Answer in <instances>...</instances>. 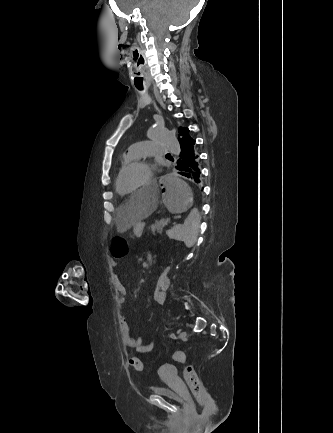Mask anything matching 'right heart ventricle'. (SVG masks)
<instances>
[{
    "instance_id": "right-heart-ventricle-1",
    "label": "right heart ventricle",
    "mask_w": 333,
    "mask_h": 433,
    "mask_svg": "<svg viewBox=\"0 0 333 433\" xmlns=\"http://www.w3.org/2000/svg\"><path fill=\"white\" fill-rule=\"evenodd\" d=\"M135 159H136V158L133 157L129 152H125V153L122 155L121 159H120L119 167H118V171H117V174H116V177H115V189H116V192H117L120 196H122V197H123L124 195L120 194V193L118 192V190H117V186H116L117 178H118L120 172L122 171V169H123L126 165H128L130 162L134 161Z\"/></svg>"
}]
</instances>
